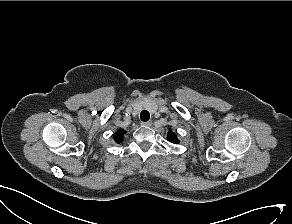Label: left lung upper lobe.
I'll return each mask as SVG.
<instances>
[{"mask_svg":"<svg viewBox=\"0 0 292 224\" xmlns=\"http://www.w3.org/2000/svg\"><path fill=\"white\" fill-rule=\"evenodd\" d=\"M167 138L170 142L172 143H179V140L177 139V136L175 133H173L172 131H169Z\"/></svg>","mask_w":292,"mask_h":224,"instance_id":"left-lung-upper-lobe-1","label":"left lung upper lobe"}]
</instances>
